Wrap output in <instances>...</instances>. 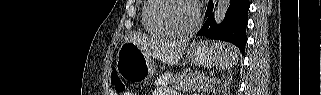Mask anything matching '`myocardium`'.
I'll return each mask as SVG.
<instances>
[{
	"label": "myocardium",
	"instance_id": "obj_1",
	"mask_svg": "<svg viewBox=\"0 0 321 95\" xmlns=\"http://www.w3.org/2000/svg\"><path fill=\"white\" fill-rule=\"evenodd\" d=\"M171 1H176V0H154V4L150 10V18H151L152 22L154 23V25L158 29L162 30L165 34L171 35V36L186 37V36H190L193 33H195L201 25V13H200V9H199L196 1L179 0V1H185V2L189 3L192 6V8L194 10V14H195L194 24L192 25V27H190L189 29L184 30V31L174 29L173 27L166 24L165 22H163L159 18V12L162 9V7L166 6Z\"/></svg>",
	"mask_w": 321,
	"mask_h": 95
}]
</instances>
